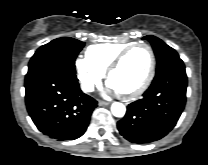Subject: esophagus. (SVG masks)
Here are the masks:
<instances>
[{"label":"esophagus","instance_id":"esophagus-1","mask_svg":"<svg viewBox=\"0 0 208 165\" xmlns=\"http://www.w3.org/2000/svg\"><path fill=\"white\" fill-rule=\"evenodd\" d=\"M98 104H99V106H105V105H109V102L99 100Z\"/></svg>","mask_w":208,"mask_h":165}]
</instances>
